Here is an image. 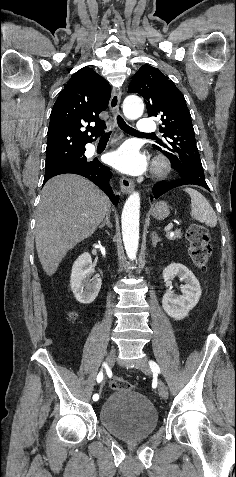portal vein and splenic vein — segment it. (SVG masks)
Masks as SVG:
<instances>
[{"label": "portal vein and splenic vein", "instance_id": "portal-vein-and-splenic-vein-1", "mask_svg": "<svg viewBox=\"0 0 236 477\" xmlns=\"http://www.w3.org/2000/svg\"><path fill=\"white\" fill-rule=\"evenodd\" d=\"M172 228H173V224L171 223V224H168V225L165 227L164 230H165V232H169V231L172 230Z\"/></svg>", "mask_w": 236, "mask_h": 477}]
</instances>
